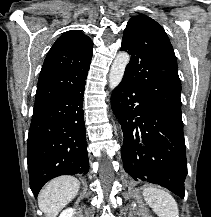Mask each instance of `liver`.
<instances>
[{"mask_svg": "<svg viewBox=\"0 0 211 217\" xmlns=\"http://www.w3.org/2000/svg\"><path fill=\"white\" fill-rule=\"evenodd\" d=\"M80 182L72 176H60L50 181L38 196V205L46 217H56L77 195Z\"/></svg>", "mask_w": 211, "mask_h": 217, "instance_id": "liver-1", "label": "liver"}]
</instances>
